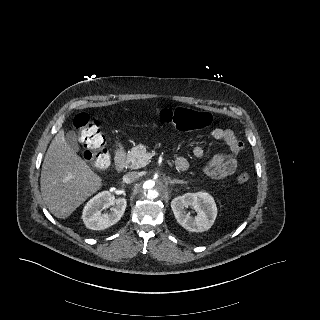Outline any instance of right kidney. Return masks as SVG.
<instances>
[{
    "instance_id": "right-kidney-1",
    "label": "right kidney",
    "mask_w": 320,
    "mask_h": 320,
    "mask_svg": "<svg viewBox=\"0 0 320 320\" xmlns=\"http://www.w3.org/2000/svg\"><path fill=\"white\" fill-rule=\"evenodd\" d=\"M110 206L112 208L109 213H101L103 209ZM126 206L125 198L115 199L109 191H102L87 202L83 209L82 219L88 229H107L121 219Z\"/></svg>"
}]
</instances>
